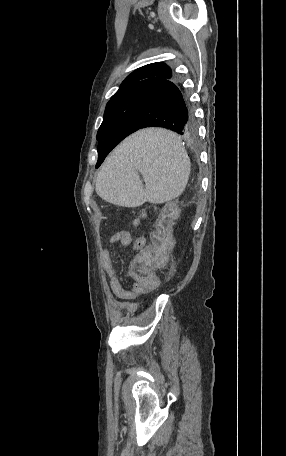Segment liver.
I'll list each match as a JSON object with an SVG mask.
<instances>
[{
    "instance_id": "6515ba94",
    "label": "liver",
    "mask_w": 286,
    "mask_h": 456,
    "mask_svg": "<svg viewBox=\"0 0 286 456\" xmlns=\"http://www.w3.org/2000/svg\"><path fill=\"white\" fill-rule=\"evenodd\" d=\"M189 174L190 160L181 138L166 129L147 128L114 149L98 173L95 190L117 206L138 207L147 201L159 204L179 197Z\"/></svg>"
}]
</instances>
